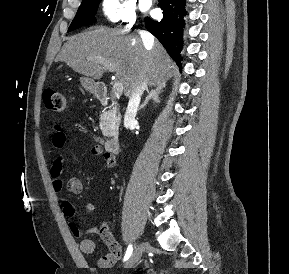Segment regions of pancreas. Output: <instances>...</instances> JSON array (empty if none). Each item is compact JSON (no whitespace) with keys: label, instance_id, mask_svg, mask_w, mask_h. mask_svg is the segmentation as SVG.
Returning <instances> with one entry per match:
<instances>
[{"label":"pancreas","instance_id":"pancreas-1","mask_svg":"<svg viewBox=\"0 0 289 274\" xmlns=\"http://www.w3.org/2000/svg\"><path fill=\"white\" fill-rule=\"evenodd\" d=\"M120 122V114L114 105L108 111L100 115V129L104 137L117 134V128Z\"/></svg>","mask_w":289,"mask_h":274}]
</instances>
